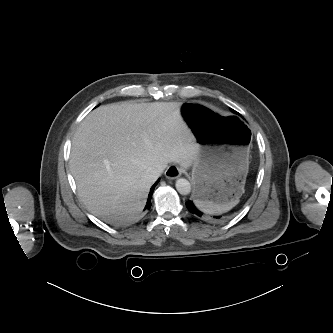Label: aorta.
<instances>
[{
	"label": "aorta",
	"mask_w": 333,
	"mask_h": 333,
	"mask_svg": "<svg viewBox=\"0 0 333 333\" xmlns=\"http://www.w3.org/2000/svg\"><path fill=\"white\" fill-rule=\"evenodd\" d=\"M176 189L182 195H188L191 191V185L188 180L179 178L176 180Z\"/></svg>",
	"instance_id": "aorta-1"
}]
</instances>
